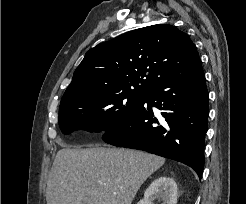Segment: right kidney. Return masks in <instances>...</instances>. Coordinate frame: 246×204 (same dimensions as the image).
Segmentation results:
<instances>
[{
	"instance_id": "1",
	"label": "right kidney",
	"mask_w": 246,
	"mask_h": 204,
	"mask_svg": "<svg viewBox=\"0 0 246 204\" xmlns=\"http://www.w3.org/2000/svg\"><path fill=\"white\" fill-rule=\"evenodd\" d=\"M156 199L161 200L162 204L177 203V185L173 178L165 176L156 178L137 204H154Z\"/></svg>"
}]
</instances>
